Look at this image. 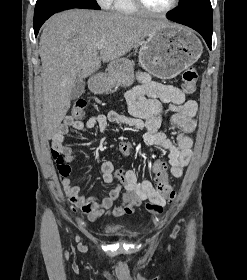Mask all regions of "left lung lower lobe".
I'll list each match as a JSON object with an SVG mask.
<instances>
[{
	"label": "left lung lower lobe",
	"instance_id": "1",
	"mask_svg": "<svg viewBox=\"0 0 247 280\" xmlns=\"http://www.w3.org/2000/svg\"><path fill=\"white\" fill-rule=\"evenodd\" d=\"M168 19L196 30L202 35L208 47L211 49L213 31L212 20L179 18L175 17L173 14H170Z\"/></svg>",
	"mask_w": 247,
	"mask_h": 280
}]
</instances>
